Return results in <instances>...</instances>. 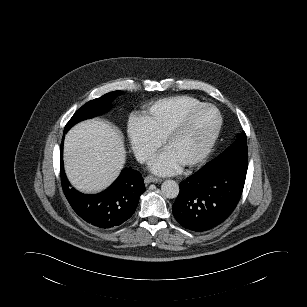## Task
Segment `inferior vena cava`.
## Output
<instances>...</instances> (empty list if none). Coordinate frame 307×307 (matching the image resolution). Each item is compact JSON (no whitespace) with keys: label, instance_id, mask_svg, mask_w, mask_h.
Listing matches in <instances>:
<instances>
[{"label":"inferior vena cava","instance_id":"1","mask_svg":"<svg viewBox=\"0 0 307 307\" xmlns=\"http://www.w3.org/2000/svg\"><path fill=\"white\" fill-rule=\"evenodd\" d=\"M150 159H151V156H150V155H147V154H145V153H139V154L137 155V160L140 161L141 163L150 161Z\"/></svg>","mask_w":307,"mask_h":307}]
</instances>
